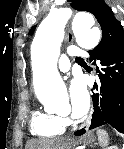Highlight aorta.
<instances>
[{"instance_id":"obj_1","label":"aorta","mask_w":124,"mask_h":149,"mask_svg":"<svg viewBox=\"0 0 124 149\" xmlns=\"http://www.w3.org/2000/svg\"><path fill=\"white\" fill-rule=\"evenodd\" d=\"M70 18L71 13L66 9L50 12L37 28L31 45L35 94L44 106L54 109H57L67 95L57 70V60L64 28ZM71 24L79 46L92 49L99 43L101 32L94 26L93 16L78 12L73 16Z\"/></svg>"}]
</instances>
